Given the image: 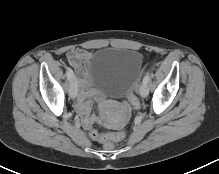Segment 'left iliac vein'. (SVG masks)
Returning <instances> with one entry per match:
<instances>
[{
  "mask_svg": "<svg viewBox=\"0 0 219 174\" xmlns=\"http://www.w3.org/2000/svg\"><path fill=\"white\" fill-rule=\"evenodd\" d=\"M139 94L142 97H146L148 95V87L146 84L142 83L139 87Z\"/></svg>",
  "mask_w": 219,
  "mask_h": 174,
  "instance_id": "obj_1",
  "label": "left iliac vein"
}]
</instances>
